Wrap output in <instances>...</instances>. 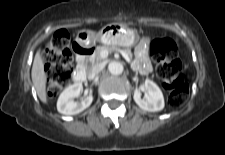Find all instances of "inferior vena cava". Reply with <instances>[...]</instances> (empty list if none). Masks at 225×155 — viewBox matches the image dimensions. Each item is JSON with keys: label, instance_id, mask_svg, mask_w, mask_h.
<instances>
[{"label": "inferior vena cava", "instance_id": "inferior-vena-cava-1", "mask_svg": "<svg viewBox=\"0 0 225 155\" xmlns=\"http://www.w3.org/2000/svg\"><path fill=\"white\" fill-rule=\"evenodd\" d=\"M104 68L103 64H96L88 70V79H94Z\"/></svg>", "mask_w": 225, "mask_h": 155}]
</instances>
